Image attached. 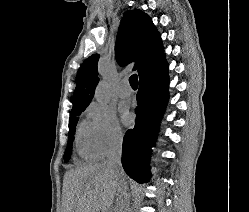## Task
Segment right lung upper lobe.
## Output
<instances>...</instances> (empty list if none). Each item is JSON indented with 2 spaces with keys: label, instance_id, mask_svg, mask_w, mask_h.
<instances>
[{
  "label": "right lung upper lobe",
  "instance_id": "obj_1",
  "mask_svg": "<svg viewBox=\"0 0 249 212\" xmlns=\"http://www.w3.org/2000/svg\"><path fill=\"white\" fill-rule=\"evenodd\" d=\"M161 36L151 18L139 9L124 13L116 40L115 57L120 66L136 62L133 70L139 75L163 58ZM98 54L87 58L81 65L73 94L72 110L86 108L93 98L99 81L97 73Z\"/></svg>",
  "mask_w": 249,
  "mask_h": 212
}]
</instances>
